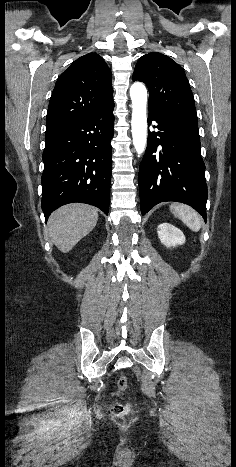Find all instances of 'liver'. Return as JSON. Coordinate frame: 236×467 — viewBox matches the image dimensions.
Wrapping results in <instances>:
<instances>
[{
  "label": "liver",
  "mask_w": 236,
  "mask_h": 467,
  "mask_svg": "<svg viewBox=\"0 0 236 467\" xmlns=\"http://www.w3.org/2000/svg\"><path fill=\"white\" fill-rule=\"evenodd\" d=\"M98 210L87 204L73 203L54 211L47 223L55 246L67 253L96 226Z\"/></svg>",
  "instance_id": "liver-1"
}]
</instances>
